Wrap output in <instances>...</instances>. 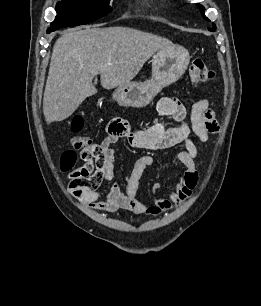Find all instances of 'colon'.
Wrapping results in <instances>:
<instances>
[{
	"label": "colon",
	"mask_w": 261,
	"mask_h": 306,
	"mask_svg": "<svg viewBox=\"0 0 261 306\" xmlns=\"http://www.w3.org/2000/svg\"><path fill=\"white\" fill-rule=\"evenodd\" d=\"M189 76L194 86H199L210 81L214 77L211 71L201 59L192 61L189 67ZM72 131L78 133L83 127V121L80 116H75L72 120ZM74 150H81L84 158L91 159L96 167H101L105 162V152L99 144H94L85 136H75L71 140ZM76 161V153L73 150L64 152L61 159L63 170H71ZM94 184L88 181L82 172L75 170L70 175V189L73 194L79 198L83 190L93 188Z\"/></svg>",
	"instance_id": "5ec220e1"
}]
</instances>
